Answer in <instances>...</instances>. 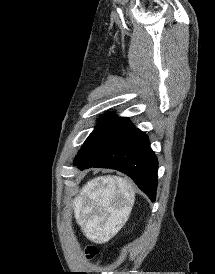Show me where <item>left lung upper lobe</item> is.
<instances>
[{
	"label": "left lung upper lobe",
	"instance_id": "1",
	"mask_svg": "<svg viewBox=\"0 0 215 274\" xmlns=\"http://www.w3.org/2000/svg\"><path fill=\"white\" fill-rule=\"evenodd\" d=\"M128 119L119 116H104L98 120V124L93 132L88 136L82 148L79 150L74 162L81 161L100 145L112 132L127 122Z\"/></svg>",
	"mask_w": 215,
	"mask_h": 274
}]
</instances>
